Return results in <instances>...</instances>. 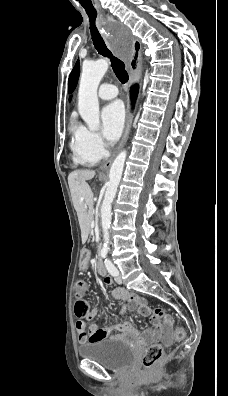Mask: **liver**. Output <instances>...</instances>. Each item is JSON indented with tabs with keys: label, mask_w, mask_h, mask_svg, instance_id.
<instances>
[{
	"label": "liver",
	"mask_w": 228,
	"mask_h": 396,
	"mask_svg": "<svg viewBox=\"0 0 228 396\" xmlns=\"http://www.w3.org/2000/svg\"><path fill=\"white\" fill-rule=\"evenodd\" d=\"M95 174L94 170H76L68 176V184L73 205L78 215L83 241L87 238L89 221H91L93 215V193L86 181L92 179Z\"/></svg>",
	"instance_id": "obj_1"
}]
</instances>
